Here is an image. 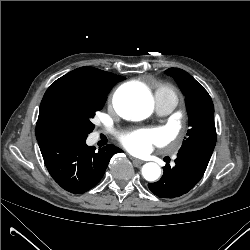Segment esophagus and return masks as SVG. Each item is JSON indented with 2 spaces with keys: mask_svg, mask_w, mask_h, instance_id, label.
I'll list each match as a JSON object with an SVG mask.
<instances>
[{
  "mask_svg": "<svg viewBox=\"0 0 250 250\" xmlns=\"http://www.w3.org/2000/svg\"><path fill=\"white\" fill-rule=\"evenodd\" d=\"M131 160H132L133 163L136 164V165H141V164L144 163L143 160L137 159V158H135V157H131Z\"/></svg>",
  "mask_w": 250,
  "mask_h": 250,
  "instance_id": "1",
  "label": "esophagus"
}]
</instances>
